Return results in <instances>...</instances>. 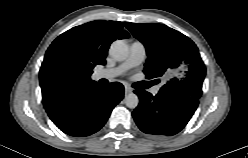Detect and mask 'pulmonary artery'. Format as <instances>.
Masks as SVG:
<instances>
[{"instance_id": "e3ab8cb5", "label": "pulmonary artery", "mask_w": 248, "mask_h": 158, "mask_svg": "<svg viewBox=\"0 0 248 158\" xmlns=\"http://www.w3.org/2000/svg\"><path fill=\"white\" fill-rule=\"evenodd\" d=\"M146 58V48L140 41H134L130 45L129 55L127 59L120 65L113 68L100 69L95 72L94 77L99 79H113L126 73L128 70L141 65ZM157 89L153 91L156 93Z\"/></svg>"}]
</instances>
